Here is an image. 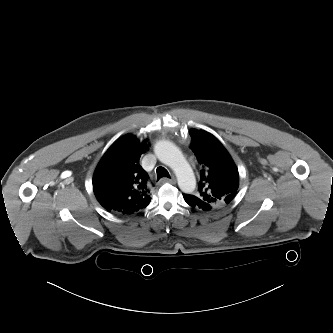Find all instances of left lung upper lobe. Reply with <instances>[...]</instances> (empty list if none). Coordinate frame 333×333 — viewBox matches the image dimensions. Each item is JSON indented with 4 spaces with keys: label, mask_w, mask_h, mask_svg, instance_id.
Listing matches in <instances>:
<instances>
[{
    "label": "left lung upper lobe",
    "mask_w": 333,
    "mask_h": 333,
    "mask_svg": "<svg viewBox=\"0 0 333 333\" xmlns=\"http://www.w3.org/2000/svg\"><path fill=\"white\" fill-rule=\"evenodd\" d=\"M191 149L202 165L195 198L209 203L213 209L227 206L235 197L239 174L235 163L220 141L212 134L191 129Z\"/></svg>",
    "instance_id": "5c2ea615"
}]
</instances>
